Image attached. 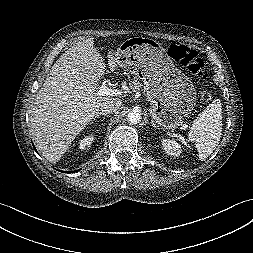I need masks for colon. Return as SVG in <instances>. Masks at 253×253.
Here are the masks:
<instances>
[{"label": "colon", "instance_id": "1", "mask_svg": "<svg viewBox=\"0 0 253 253\" xmlns=\"http://www.w3.org/2000/svg\"><path fill=\"white\" fill-rule=\"evenodd\" d=\"M167 53L176 63L185 67L195 77L203 75L204 62L194 49L185 45L171 43L167 46ZM201 97L203 100H209L210 94L203 90Z\"/></svg>", "mask_w": 253, "mask_h": 253}]
</instances>
